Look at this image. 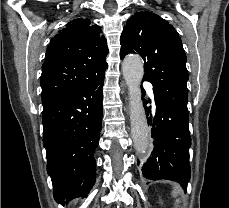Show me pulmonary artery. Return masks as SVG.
Wrapping results in <instances>:
<instances>
[{
	"instance_id": "obj_1",
	"label": "pulmonary artery",
	"mask_w": 229,
	"mask_h": 208,
	"mask_svg": "<svg viewBox=\"0 0 229 208\" xmlns=\"http://www.w3.org/2000/svg\"><path fill=\"white\" fill-rule=\"evenodd\" d=\"M147 90L150 95H152V85L151 84H146Z\"/></svg>"
}]
</instances>
